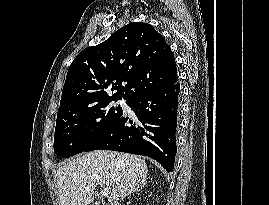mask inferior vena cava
<instances>
[{
    "label": "inferior vena cava",
    "instance_id": "inferior-vena-cava-1",
    "mask_svg": "<svg viewBox=\"0 0 269 205\" xmlns=\"http://www.w3.org/2000/svg\"><path fill=\"white\" fill-rule=\"evenodd\" d=\"M118 204V202L117 201H115V202H113L111 205H117Z\"/></svg>",
    "mask_w": 269,
    "mask_h": 205
}]
</instances>
